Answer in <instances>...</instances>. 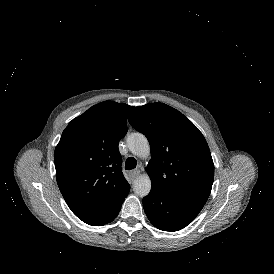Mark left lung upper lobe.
Listing matches in <instances>:
<instances>
[{"label": "left lung upper lobe", "mask_w": 274, "mask_h": 274, "mask_svg": "<svg viewBox=\"0 0 274 274\" xmlns=\"http://www.w3.org/2000/svg\"><path fill=\"white\" fill-rule=\"evenodd\" d=\"M129 123L150 143L152 159L146 170L152 187L204 206L213 184L214 164L198 128L163 103L136 107Z\"/></svg>", "instance_id": "left-lung-upper-lobe-1"}]
</instances>
